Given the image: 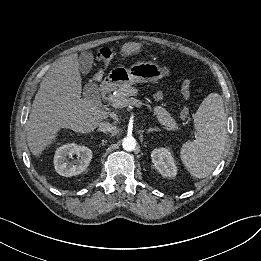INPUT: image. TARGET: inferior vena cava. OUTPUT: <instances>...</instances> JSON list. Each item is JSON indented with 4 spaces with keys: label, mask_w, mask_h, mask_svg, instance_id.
I'll return each instance as SVG.
<instances>
[{
    "label": "inferior vena cava",
    "mask_w": 261,
    "mask_h": 261,
    "mask_svg": "<svg viewBox=\"0 0 261 261\" xmlns=\"http://www.w3.org/2000/svg\"><path fill=\"white\" fill-rule=\"evenodd\" d=\"M114 129L115 127L107 121L101 122L99 124V131L101 132H112Z\"/></svg>",
    "instance_id": "602c4592"
}]
</instances>
